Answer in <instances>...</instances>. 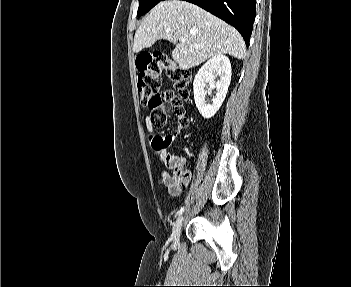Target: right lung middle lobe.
<instances>
[{"instance_id": "obj_1", "label": "right lung middle lobe", "mask_w": 351, "mask_h": 287, "mask_svg": "<svg viewBox=\"0 0 351 287\" xmlns=\"http://www.w3.org/2000/svg\"><path fill=\"white\" fill-rule=\"evenodd\" d=\"M160 1H163V0H139V9L137 12V16L139 17L141 15H144Z\"/></svg>"}]
</instances>
